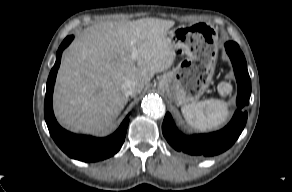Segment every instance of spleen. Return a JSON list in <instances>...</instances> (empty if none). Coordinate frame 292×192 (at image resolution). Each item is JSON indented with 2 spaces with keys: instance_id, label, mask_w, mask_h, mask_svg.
I'll return each instance as SVG.
<instances>
[{
  "instance_id": "1",
  "label": "spleen",
  "mask_w": 292,
  "mask_h": 192,
  "mask_svg": "<svg viewBox=\"0 0 292 192\" xmlns=\"http://www.w3.org/2000/svg\"><path fill=\"white\" fill-rule=\"evenodd\" d=\"M221 96L232 92V85L220 82L217 86ZM186 123L193 129L204 131L219 127L229 114L227 103L217 99H207L196 103L185 104L181 107Z\"/></svg>"
}]
</instances>
